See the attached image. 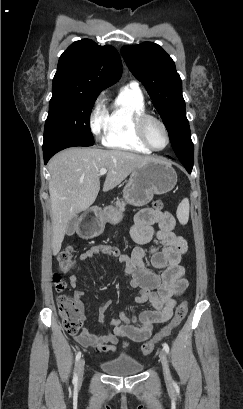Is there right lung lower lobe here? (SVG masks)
Listing matches in <instances>:
<instances>
[{"label": "right lung lower lobe", "instance_id": "obj_1", "mask_svg": "<svg viewBox=\"0 0 243 409\" xmlns=\"http://www.w3.org/2000/svg\"><path fill=\"white\" fill-rule=\"evenodd\" d=\"M74 146H91L89 144H84L78 141L67 140V139H57L49 142L48 144L43 145V154L45 164L48 160L58 151L63 150L68 147Z\"/></svg>", "mask_w": 243, "mask_h": 409}]
</instances>
